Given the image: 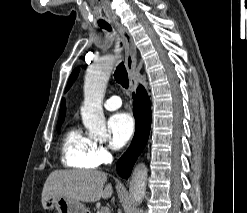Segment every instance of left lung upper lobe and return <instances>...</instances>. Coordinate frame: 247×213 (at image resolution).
<instances>
[{
  "instance_id": "1",
  "label": "left lung upper lobe",
  "mask_w": 247,
  "mask_h": 213,
  "mask_svg": "<svg viewBox=\"0 0 247 213\" xmlns=\"http://www.w3.org/2000/svg\"><path fill=\"white\" fill-rule=\"evenodd\" d=\"M78 73H79V68H76V69L72 72V74H71V76H70V78H69L67 87H66V91L70 88V86L72 85L73 81L76 79Z\"/></svg>"
}]
</instances>
